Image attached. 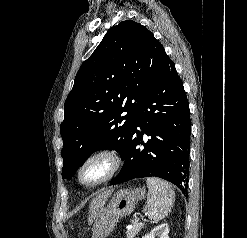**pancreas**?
<instances>
[{"label": "pancreas", "instance_id": "obj_1", "mask_svg": "<svg viewBox=\"0 0 247 238\" xmlns=\"http://www.w3.org/2000/svg\"><path fill=\"white\" fill-rule=\"evenodd\" d=\"M132 227L126 231L127 238H134L143 228L144 224L137 220H132Z\"/></svg>", "mask_w": 247, "mask_h": 238}]
</instances>
